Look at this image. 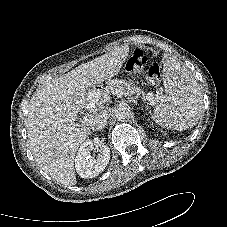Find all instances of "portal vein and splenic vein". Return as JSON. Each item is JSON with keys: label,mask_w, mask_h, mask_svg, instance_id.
Returning <instances> with one entry per match:
<instances>
[{"label": "portal vein and splenic vein", "mask_w": 227, "mask_h": 227, "mask_svg": "<svg viewBox=\"0 0 227 227\" xmlns=\"http://www.w3.org/2000/svg\"><path fill=\"white\" fill-rule=\"evenodd\" d=\"M114 95H116V96L119 97V98H122V96H123V94L120 93L119 91H115V92H114ZM93 97H94V96L91 95V94L88 96L90 102L98 101V99H94ZM147 99H148L149 101L153 100V99H154L153 94H152V93H148V94H147ZM90 105H94V103H91ZM91 119H92V115H89V114L85 115V116L83 117V121H82L83 125L89 124V123L91 122Z\"/></svg>", "instance_id": "1"}]
</instances>
